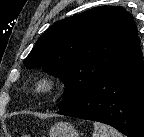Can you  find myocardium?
Instances as JSON below:
<instances>
[{"mask_svg":"<svg viewBox=\"0 0 144 137\" xmlns=\"http://www.w3.org/2000/svg\"><path fill=\"white\" fill-rule=\"evenodd\" d=\"M57 88V80L52 75H43L36 78L29 87V92L36 96L52 94Z\"/></svg>","mask_w":144,"mask_h":137,"instance_id":"obj_1","label":"myocardium"}]
</instances>
